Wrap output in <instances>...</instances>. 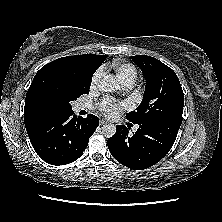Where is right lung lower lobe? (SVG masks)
<instances>
[{
    "label": "right lung lower lobe",
    "mask_w": 222,
    "mask_h": 222,
    "mask_svg": "<svg viewBox=\"0 0 222 222\" xmlns=\"http://www.w3.org/2000/svg\"><path fill=\"white\" fill-rule=\"evenodd\" d=\"M99 125L95 115L76 118L73 111H59L26 125L31 144L45 162L65 165L77 160Z\"/></svg>",
    "instance_id": "1"
}]
</instances>
